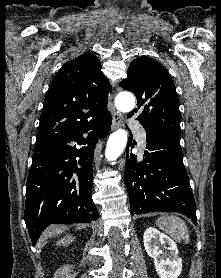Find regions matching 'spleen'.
<instances>
[{
    "label": "spleen",
    "mask_w": 221,
    "mask_h": 278,
    "mask_svg": "<svg viewBox=\"0 0 221 278\" xmlns=\"http://www.w3.org/2000/svg\"><path fill=\"white\" fill-rule=\"evenodd\" d=\"M157 226L164 232L168 233L178 242L182 240L189 243V231L185 222L175 216H161L156 221Z\"/></svg>",
    "instance_id": "obj_1"
}]
</instances>
